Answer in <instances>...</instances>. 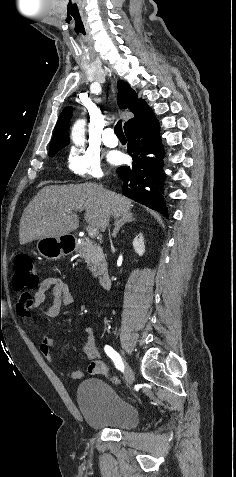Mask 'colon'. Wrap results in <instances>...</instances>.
I'll return each mask as SVG.
<instances>
[{
	"label": "colon",
	"instance_id": "obj_1",
	"mask_svg": "<svg viewBox=\"0 0 236 477\" xmlns=\"http://www.w3.org/2000/svg\"><path fill=\"white\" fill-rule=\"evenodd\" d=\"M39 281L37 269L33 258L28 254H20L14 261L13 288L18 293L19 304L28 305L31 303L32 296L29 293L33 290ZM115 383L119 379L113 377Z\"/></svg>",
	"mask_w": 236,
	"mask_h": 477
}]
</instances>
